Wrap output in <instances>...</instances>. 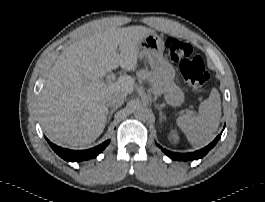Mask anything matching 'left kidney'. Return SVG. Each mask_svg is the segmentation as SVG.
Wrapping results in <instances>:
<instances>
[{"instance_id": "left-kidney-1", "label": "left kidney", "mask_w": 265, "mask_h": 202, "mask_svg": "<svg viewBox=\"0 0 265 202\" xmlns=\"http://www.w3.org/2000/svg\"><path fill=\"white\" fill-rule=\"evenodd\" d=\"M170 136H171V138L173 139L174 142H178L179 141L178 133L175 130H171Z\"/></svg>"}]
</instances>
